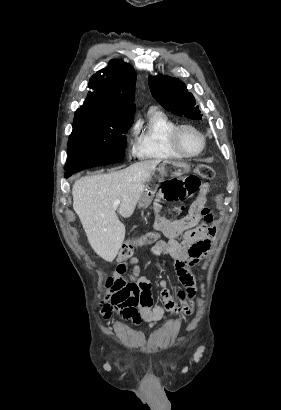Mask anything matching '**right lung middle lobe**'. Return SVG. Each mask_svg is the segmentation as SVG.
<instances>
[{"label":"right lung middle lobe","instance_id":"1","mask_svg":"<svg viewBox=\"0 0 281 410\" xmlns=\"http://www.w3.org/2000/svg\"><path fill=\"white\" fill-rule=\"evenodd\" d=\"M133 116H109L94 110H76L68 140L65 173L119 162L125 157L126 136Z\"/></svg>","mask_w":281,"mask_h":410}]
</instances>
